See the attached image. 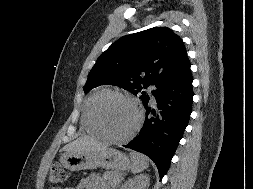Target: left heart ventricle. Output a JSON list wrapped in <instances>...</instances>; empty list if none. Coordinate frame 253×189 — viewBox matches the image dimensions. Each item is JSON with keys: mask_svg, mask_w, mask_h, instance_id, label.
Returning <instances> with one entry per match:
<instances>
[{"mask_svg": "<svg viewBox=\"0 0 253 189\" xmlns=\"http://www.w3.org/2000/svg\"><path fill=\"white\" fill-rule=\"evenodd\" d=\"M99 115L105 128L114 136L128 134L137 121L135 108L118 98L103 101L99 107Z\"/></svg>", "mask_w": 253, "mask_h": 189, "instance_id": "obj_1", "label": "left heart ventricle"}]
</instances>
